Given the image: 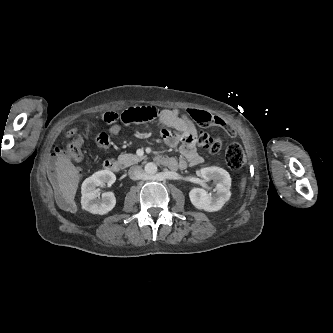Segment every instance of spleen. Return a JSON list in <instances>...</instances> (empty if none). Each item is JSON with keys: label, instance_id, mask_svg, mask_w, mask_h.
I'll list each match as a JSON object with an SVG mask.
<instances>
[{"label": "spleen", "instance_id": "1", "mask_svg": "<svg viewBox=\"0 0 333 333\" xmlns=\"http://www.w3.org/2000/svg\"><path fill=\"white\" fill-rule=\"evenodd\" d=\"M245 184H246V180H245V178H243L242 182H241V187L244 188Z\"/></svg>", "mask_w": 333, "mask_h": 333}]
</instances>
